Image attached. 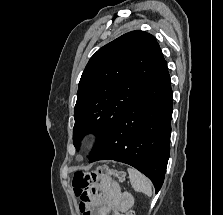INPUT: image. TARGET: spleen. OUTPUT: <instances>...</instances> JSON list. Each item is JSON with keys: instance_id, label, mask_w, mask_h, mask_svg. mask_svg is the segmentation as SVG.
Listing matches in <instances>:
<instances>
[{"instance_id": "1", "label": "spleen", "mask_w": 223, "mask_h": 215, "mask_svg": "<svg viewBox=\"0 0 223 215\" xmlns=\"http://www.w3.org/2000/svg\"><path fill=\"white\" fill-rule=\"evenodd\" d=\"M128 173L130 175L131 185H133L135 191H143L147 195H152V185L148 177H145L137 169H132V167H128Z\"/></svg>"}]
</instances>
